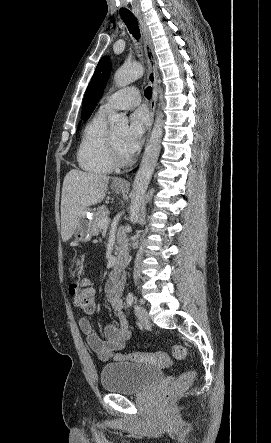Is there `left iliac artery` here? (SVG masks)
I'll use <instances>...</instances> for the list:
<instances>
[{"label": "left iliac artery", "mask_w": 271, "mask_h": 443, "mask_svg": "<svg viewBox=\"0 0 271 443\" xmlns=\"http://www.w3.org/2000/svg\"><path fill=\"white\" fill-rule=\"evenodd\" d=\"M126 302L128 306H131L134 302V295L133 293H128L127 297H126Z\"/></svg>", "instance_id": "44dca946"}]
</instances>
